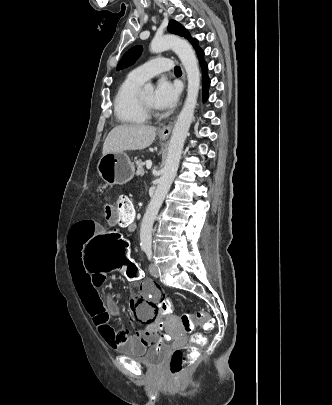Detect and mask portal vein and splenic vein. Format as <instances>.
<instances>
[{
  "instance_id": "1",
  "label": "portal vein and splenic vein",
  "mask_w": 332,
  "mask_h": 405,
  "mask_svg": "<svg viewBox=\"0 0 332 405\" xmlns=\"http://www.w3.org/2000/svg\"><path fill=\"white\" fill-rule=\"evenodd\" d=\"M151 166H152V162H151L150 160L147 161V162H146V167H147V168H150Z\"/></svg>"
}]
</instances>
